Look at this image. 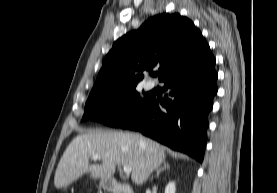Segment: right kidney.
<instances>
[{
	"label": "right kidney",
	"mask_w": 277,
	"mask_h": 193,
	"mask_svg": "<svg viewBox=\"0 0 277 193\" xmlns=\"http://www.w3.org/2000/svg\"><path fill=\"white\" fill-rule=\"evenodd\" d=\"M176 187L174 182H169L165 188V193H175Z\"/></svg>",
	"instance_id": "obj_1"
}]
</instances>
